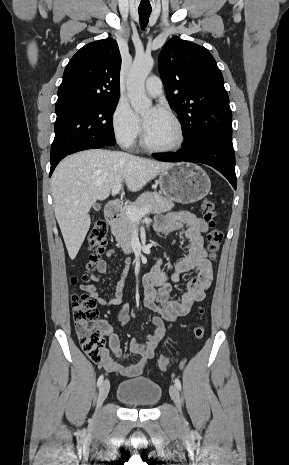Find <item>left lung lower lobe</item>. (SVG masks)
I'll return each instance as SVG.
<instances>
[{"label": "left lung lower lobe", "instance_id": "0a47b994", "mask_svg": "<svg viewBox=\"0 0 289 465\" xmlns=\"http://www.w3.org/2000/svg\"><path fill=\"white\" fill-rule=\"evenodd\" d=\"M153 158L165 162H199L221 172L236 189L235 154L233 146L214 140H202L175 153H156Z\"/></svg>", "mask_w": 289, "mask_h": 465}]
</instances>
